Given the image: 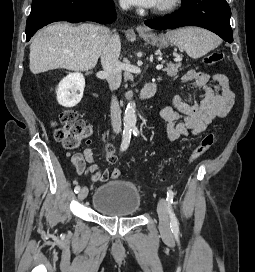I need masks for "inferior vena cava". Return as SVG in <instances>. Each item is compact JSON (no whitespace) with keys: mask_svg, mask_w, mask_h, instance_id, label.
I'll list each match as a JSON object with an SVG mask.
<instances>
[{"mask_svg":"<svg viewBox=\"0 0 255 272\" xmlns=\"http://www.w3.org/2000/svg\"><path fill=\"white\" fill-rule=\"evenodd\" d=\"M120 6L123 10H127L129 5L124 0H120ZM121 43L119 36L114 33L110 36V39L105 46L101 55V64L106 75V80L110 89L116 90L121 84V71L122 64L118 58L120 55ZM111 122L112 128L115 133L121 132V109L119 107L118 100L115 96L111 100Z\"/></svg>","mask_w":255,"mask_h":272,"instance_id":"1","label":"inferior vena cava"}]
</instances>
